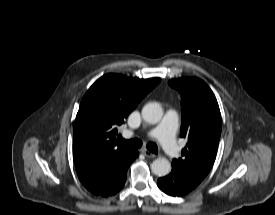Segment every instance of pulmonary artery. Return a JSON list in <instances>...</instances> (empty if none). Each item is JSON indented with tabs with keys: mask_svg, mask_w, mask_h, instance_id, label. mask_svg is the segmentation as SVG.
<instances>
[{
	"mask_svg": "<svg viewBox=\"0 0 275 215\" xmlns=\"http://www.w3.org/2000/svg\"><path fill=\"white\" fill-rule=\"evenodd\" d=\"M178 128L177 114L169 110L165 114L162 122L155 128L148 131L147 136L152 139H158L164 151L171 157L178 154V147L175 141V134ZM131 135L132 133H128Z\"/></svg>",
	"mask_w": 275,
	"mask_h": 215,
	"instance_id": "pulmonary-artery-1",
	"label": "pulmonary artery"
}]
</instances>
